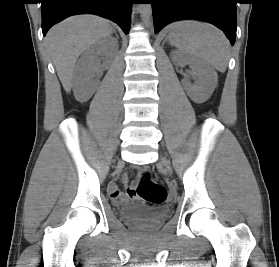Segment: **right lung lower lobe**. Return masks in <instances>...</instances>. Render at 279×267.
I'll use <instances>...</instances> for the list:
<instances>
[{"label": "right lung lower lobe", "mask_w": 279, "mask_h": 267, "mask_svg": "<svg viewBox=\"0 0 279 267\" xmlns=\"http://www.w3.org/2000/svg\"><path fill=\"white\" fill-rule=\"evenodd\" d=\"M133 0H42V31L75 14H96L117 23L128 33Z\"/></svg>", "instance_id": "98d812e1"}]
</instances>
